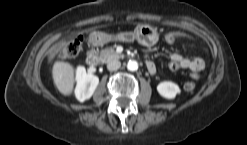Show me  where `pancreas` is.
I'll return each instance as SVG.
<instances>
[{"instance_id": "cf45deb5", "label": "pancreas", "mask_w": 247, "mask_h": 145, "mask_svg": "<svg viewBox=\"0 0 247 145\" xmlns=\"http://www.w3.org/2000/svg\"><path fill=\"white\" fill-rule=\"evenodd\" d=\"M122 55L118 54L114 48L109 47L100 51L99 58L102 62H108L111 59L120 58Z\"/></svg>"}]
</instances>
